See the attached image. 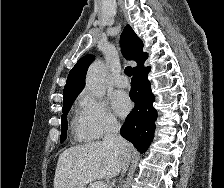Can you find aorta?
Listing matches in <instances>:
<instances>
[{
    "instance_id": "762f6f07",
    "label": "aorta",
    "mask_w": 224,
    "mask_h": 188,
    "mask_svg": "<svg viewBox=\"0 0 224 188\" xmlns=\"http://www.w3.org/2000/svg\"><path fill=\"white\" fill-rule=\"evenodd\" d=\"M106 67L102 61L94 62L88 69L86 87L95 96L102 97L105 94Z\"/></svg>"
}]
</instances>
